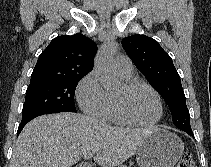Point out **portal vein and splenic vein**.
Instances as JSON below:
<instances>
[{"mask_svg": "<svg viewBox=\"0 0 211 167\" xmlns=\"http://www.w3.org/2000/svg\"><path fill=\"white\" fill-rule=\"evenodd\" d=\"M92 157H93V153L92 152H87V153L83 154V158L86 159V160L90 159Z\"/></svg>", "mask_w": 211, "mask_h": 167, "instance_id": "1", "label": "portal vein and splenic vein"}]
</instances>
